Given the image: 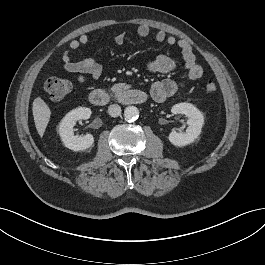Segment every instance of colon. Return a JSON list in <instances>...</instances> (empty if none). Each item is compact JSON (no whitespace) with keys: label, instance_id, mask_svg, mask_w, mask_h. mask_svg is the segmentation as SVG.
I'll list each match as a JSON object with an SVG mask.
<instances>
[{"label":"colon","instance_id":"obj_1","mask_svg":"<svg viewBox=\"0 0 265 265\" xmlns=\"http://www.w3.org/2000/svg\"><path fill=\"white\" fill-rule=\"evenodd\" d=\"M44 89L52 101H61L70 92L71 84L65 79L51 77L45 81ZM205 92L214 95L217 92V85L213 81H208Z\"/></svg>","mask_w":265,"mask_h":265}]
</instances>
